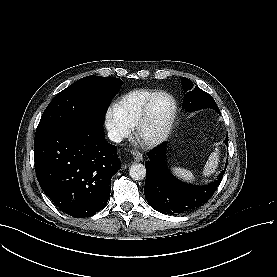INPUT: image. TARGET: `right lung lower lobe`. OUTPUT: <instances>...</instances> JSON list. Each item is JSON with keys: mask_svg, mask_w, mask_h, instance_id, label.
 <instances>
[{"mask_svg": "<svg viewBox=\"0 0 277 277\" xmlns=\"http://www.w3.org/2000/svg\"><path fill=\"white\" fill-rule=\"evenodd\" d=\"M35 171L46 195L73 217H90L108 201L112 176L120 169L117 147L103 125L57 126L36 131Z\"/></svg>", "mask_w": 277, "mask_h": 277, "instance_id": "right-lung-lower-lobe-1", "label": "right lung lower lobe"}]
</instances>
